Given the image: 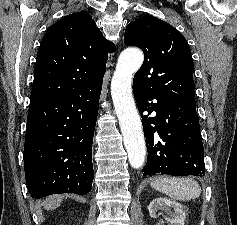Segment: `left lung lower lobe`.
<instances>
[{
    "mask_svg": "<svg viewBox=\"0 0 237 225\" xmlns=\"http://www.w3.org/2000/svg\"><path fill=\"white\" fill-rule=\"evenodd\" d=\"M133 92L148 148L143 175H204V148L195 100L165 99L135 86ZM153 99L155 102H150ZM144 111L156 115H143Z\"/></svg>",
    "mask_w": 237,
    "mask_h": 225,
    "instance_id": "left-lung-lower-lobe-1",
    "label": "left lung lower lobe"
}]
</instances>
